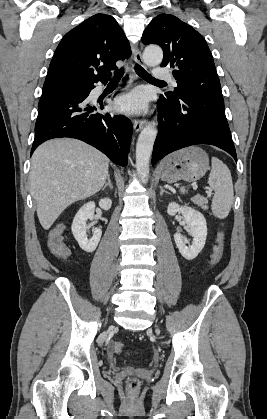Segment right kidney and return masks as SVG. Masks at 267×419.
<instances>
[{"label":"right kidney","instance_id":"right-kidney-1","mask_svg":"<svg viewBox=\"0 0 267 419\" xmlns=\"http://www.w3.org/2000/svg\"><path fill=\"white\" fill-rule=\"evenodd\" d=\"M112 200L110 198H102L99 201V206L103 210L107 211L111 208ZM95 211V203L90 201L84 204L73 219V223L71 226L72 233L74 238L78 242L79 246L86 252H93L100 241L102 231L99 228L93 229V236L88 239L87 237V229L88 226L86 221L88 219L92 220Z\"/></svg>","mask_w":267,"mask_h":419}]
</instances>
